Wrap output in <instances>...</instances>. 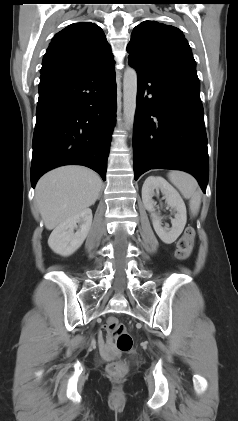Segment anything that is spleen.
<instances>
[{
    "label": "spleen",
    "mask_w": 238,
    "mask_h": 421,
    "mask_svg": "<svg viewBox=\"0 0 238 421\" xmlns=\"http://www.w3.org/2000/svg\"><path fill=\"white\" fill-rule=\"evenodd\" d=\"M168 177L183 197L190 200L191 213L197 215L201 205V191L198 189L196 179L190 174L181 171H171Z\"/></svg>",
    "instance_id": "obj_1"
}]
</instances>
